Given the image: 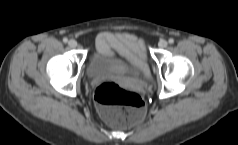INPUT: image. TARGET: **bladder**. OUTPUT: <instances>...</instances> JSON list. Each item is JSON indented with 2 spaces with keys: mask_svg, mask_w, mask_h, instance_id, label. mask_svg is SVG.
<instances>
[{
  "mask_svg": "<svg viewBox=\"0 0 238 145\" xmlns=\"http://www.w3.org/2000/svg\"><path fill=\"white\" fill-rule=\"evenodd\" d=\"M111 65L129 66V64L123 58H115V57L96 51L91 55V57L89 58L87 62L86 73L89 78L96 79L98 74L103 69ZM134 70L139 74L140 77L147 78L150 75L149 66L144 63H140L137 66V69H134Z\"/></svg>",
  "mask_w": 238,
  "mask_h": 145,
  "instance_id": "1",
  "label": "bladder"
}]
</instances>
